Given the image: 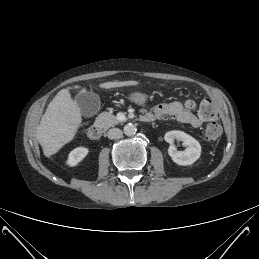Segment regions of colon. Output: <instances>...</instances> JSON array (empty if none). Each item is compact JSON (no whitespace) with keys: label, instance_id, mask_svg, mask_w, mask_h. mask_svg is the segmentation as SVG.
Listing matches in <instances>:
<instances>
[{"label":"colon","instance_id":"obj_1","mask_svg":"<svg viewBox=\"0 0 259 259\" xmlns=\"http://www.w3.org/2000/svg\"><path fill=\"white\" fill-rule=\"evenodd\" d=\"M200 112L202 115L210 118V122L205 128V137L208 140H216L221 134V126L216 121V111L209 100H204L200 106Z\"/></svg>","mask_w":259,"mask_h":259}]
</instances>
